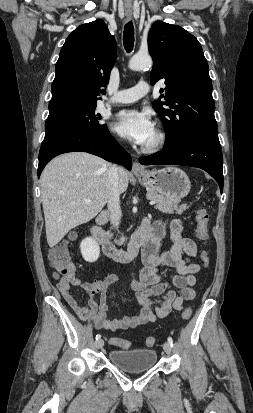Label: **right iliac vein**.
<instances>
[{
    "label": "right iliac vein",
    "mask_w": 253,
    "mask_h": 413,
    "mask_svg": "<svg viewBox=\"0 0 253 413\" xmlns=\"http://www.w3.org/2000/svg\"><path fill=\"white\" fill-rule=\"evenodd\" d=\"M103 345H104V341L102 339H98L95 343V346H96L97 349L102 348Z\"/></svg>",
    "instance_id": "right-iliac-vein-1"
}]
</instances>
